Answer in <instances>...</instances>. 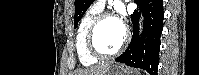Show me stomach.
Segmentation results:
<instances>
[{
	"label": "stomach",
	"mask_w": 199,
	"mask_h": 75,
	"mask_svg": "<svg viewBox=\"0 0 199 75\" xmlns=\"http://www.w3.org/2000/svg\"><path fill=\"white\" fill-rule=\"evenodd\" d=\"M105 75H140V73L132 72L121 64H112Z\"/></svg>",
	"instance_id": "obj_1"
}]
</instances>
